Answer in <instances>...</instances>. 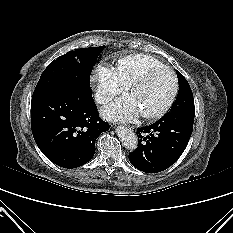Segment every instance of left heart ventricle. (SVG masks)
<instances>
[{
	"mask_svg": "<svg viewBox=\"0 0 233 233\" xmlns=\"http://www.w3.org/2000/svg\"><path fill=\"white\" fill-rule=\"evenodd\" d=\"M173 80L168 71L159 70L152 73L143 83L131 90L141 113L158 110L168 99L172 90Z\"/></svg>",
	"mask_w": 233,
	"mask_h": 233,
	"instance_id": "obj_1",
	"label": "left heart ventricle"
}]
</instances>
